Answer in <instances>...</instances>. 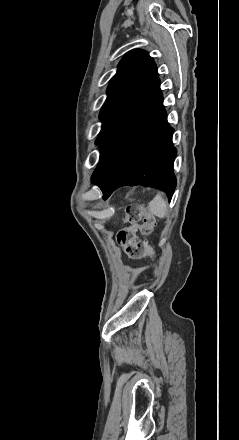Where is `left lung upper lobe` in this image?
Masks as SVG:
<instances>
[{
  "label": "left lung upper lobe",
  "instance_id": "left-lung-upper-lobe-1",
  "mask_svg": "<svg viewBox=\"0 0 239 440\" xmlns=\"http://www.w3.org/2000/svg\"><path fill=\"white\" fill-rule=\"evenodd\" d=\"M157 78L156 64L146 51L134 49L124 55L109 82L108 97L99 116L103 124L96 144L142 98Z\"/></svg>",
  "mask_w": 239,
  "mask_h": 440
}]
</instances>
